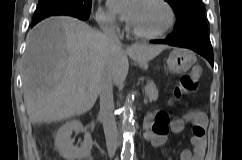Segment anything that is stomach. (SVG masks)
Here are the masks:
<instances>
[{
	"instance_id": "obj_1",
	"label": "stomach",
	"mask_w": 242,
	"mask_h": 160,
	"mask_svg": "<svg viewBox=\"0 0 242 160\" xmlns=\"http://www.w3.org/2000/svg\"><path fill=\"white\" fill-rule=\"evenodd\" d=\"M195 61L196 57L192 51L184 48H175L169 55L167 65L173 73L182 74L187 72Z\"/></svg>"
}]
</instances>
